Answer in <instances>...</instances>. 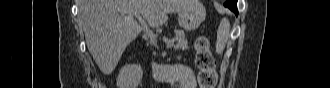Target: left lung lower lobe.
I'll return each instance as SVG.
<instances>
[{"instance_id": "left-lung-lower-lobe-1", "label": "left lung lower lobe", "mask_w": 330, "mask_h": 88, "mask_svg": "<svg viewBox=\"0 0 330 88\" xmlns=\"http://www.w3.org/2000/svg\"><path fill=\"white\" fill-rule=\"evenodd\" d=\"M224 5L231 9L236 14V16L238 15L237 0H228Z\"/></svg>"}]
</instances>
